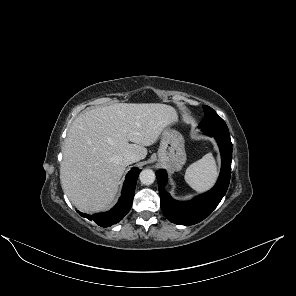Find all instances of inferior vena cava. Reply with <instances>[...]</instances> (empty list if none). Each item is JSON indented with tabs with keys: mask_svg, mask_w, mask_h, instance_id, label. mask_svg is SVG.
Instances as JSON below:
<instances>
[{
	"mask_svg": "<svg viewBox=\"0 0 296 296\" xmlns=\"http://www.w3.org/2000/svg\"><path fill=\"white\" fill-rule=\"evenodd\" d=\"M140 160V157L139 155L137 154H134V153H128L126 154L124 157H123V161L126 165H129V164H132V163H135L137 161Z\"/></svg>",
	"mask_w": 296,
	"mask_h": 296,
	"instance_id": "inferior-vena-cava-1",
	"label": "inferior vena cava"
}]
</instances>
